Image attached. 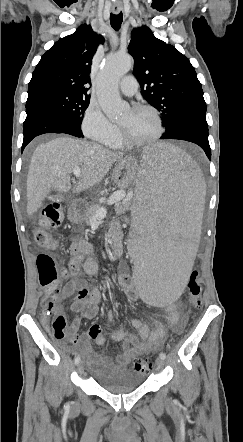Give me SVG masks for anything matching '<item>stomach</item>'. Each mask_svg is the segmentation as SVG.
Here are the masks:
<instances>
[{"instance_id": "1", "label": "stomach", "mask_w": 243, "mask_h": 442, "mask_svg": "<svg viewBox=\"0 0 243 442\" xmlns=\"http://www.w3.org/2000/svg\"><path fill=\"white\" fill-rule=\"evenodd\" d=\"M138 163L133 157H125L120 160L114 168L113 180L119 188H127L134 183L137 174L136 167ZM68 218L74 223H80L84 220V216L75 207H71L68 211Z\"/></svg>"}]
</instances>
